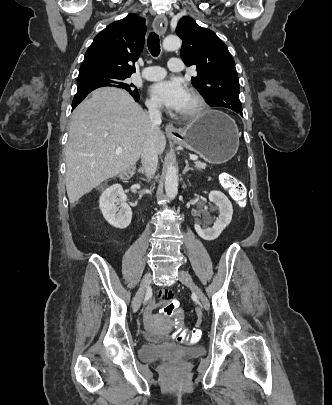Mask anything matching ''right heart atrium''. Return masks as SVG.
Segmentation results:
<instances>
[{
    "label": "right heart atrium",
    "mask_w": 332,
    "mask_h": 405,
    "mask_svg": "<svg viewBox=\"0 0 332 405\" xmlns=\"http://www.w3.org/2000/svg\"><path fill=\"white\" fill-rule=\"evenodd\" d=\"M147 106L151 109V110H158L160 108V105L158 104V102L152 98L147 100Z\"/></svg>",
    "instance_id": "right-heart-atrium-1"
}]
</instances>
